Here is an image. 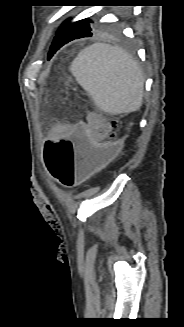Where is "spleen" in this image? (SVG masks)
Instances as JSON below:
<instances>
[{"label":"spleen","instance_id":"1","mask_svg":"<svg viewBox=\"0 0 184 327\" xmlns=\"http://www.w3.org/2000/svg\"><path fill=\"white\" fill-rule=\"evenodd\" d=\"M70 71L106 113H129L142 105L143 74L132 56L119 47L94 43L78 54Z\"/></svg>","mask_w":184,"mask_h":327}]
</instances>
